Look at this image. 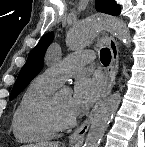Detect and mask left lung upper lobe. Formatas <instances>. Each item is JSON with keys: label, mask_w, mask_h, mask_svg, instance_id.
Returning <instances> with one entry per match:
<instances>
[{"label": "left lung upper lobe", "mask_w": 145, "mask_h": 147, "mask_svg": "<svg viewBox=\"0 0 145 147\" xmlns=\"http://www.w3.org/2000/svg\"><path fill=\"white\" fill-rule=\"evenodd\" d=\"M96 9L99 12L110 15L120 14V7L116 4L115 0H96ZM53 38L54 34L52 32L45 34L36 47L30 52L11 91L10 100L14 99L41 71L45 51L53 41Z\"/></svg>", "instance_id": "obj_1"}]
</instances>
